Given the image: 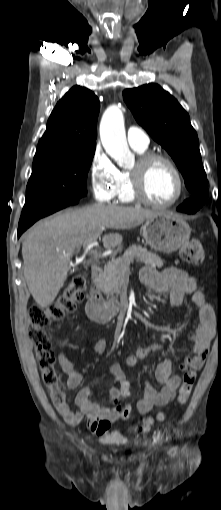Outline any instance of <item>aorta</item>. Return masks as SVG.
<instances>
[{
	"label": "aorta",
	"instance_id": "1",
	"mask_svg": "<svg viewBox=\"0 0 221 510\" xmlns=\"http://www.w3.org/2000/svg\"><path fill=\"white\" fill-rule=\"evenodd\" d=\"M99 132L105 151L120 166H130L134 161V157L126 140L123 112L117 105L110 106L104 112L100 121Z\"/></svg>",
	"mask_w": 221,
	"mask_h": 510
}]
</instances>
